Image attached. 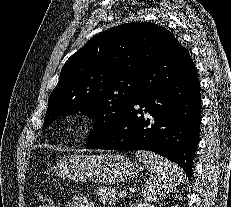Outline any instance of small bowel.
<instances>
[{
  "label": "small bowel",
  "mask_w": 231,
  "mask_h": 207,
  "mask_svg": "<svg viewBox=\"0 0 231 207\" xmlns=\"http://www.w3.org/2000/svg\"><path fill=\"white\" fill-rule=\"evenodd\" d=\"M67 207H97L93 202L81 195L72 197Z\"/></svg>",
  "instance_id": "c3829d8e"
}]
</instances>
